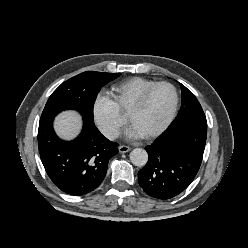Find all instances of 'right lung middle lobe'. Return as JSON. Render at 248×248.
I'll return each instance as SVG.
<instances>
[{
	"label": "right lung middle lobe",
	"instance_id": "1",
	"mask_svg": "<svg viewBox=\"0 0 248 248\" xmlns=\"http://www.w3.org/2000/svg\"><path fill=\"white\" fill-rule=\"evenodd\" d=\"M121 73L86 71L63 82L49 97L39 124L52 120L59 112L78 110L83 118L94 122L93 104L100 89Z\"/></svg>",
	"mask_w": 248,
	"mask_h": 248
}]
</instances>
